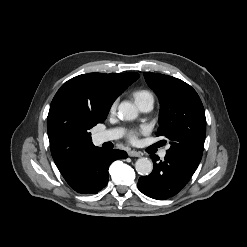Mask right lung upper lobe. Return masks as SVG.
<instances>
[{
    "label": "right lung upper lobe",
    "instance_id": "1",
    "mask_svg": "<svg viewBox=\"0 0 247 247\" xmlns=\"http://www.w3.org/2000/svg\"><path fill=\"white\" fill-rule=\"evenodd\" d=\"M139 78L136 72L122 74L89 73L65 82L54 96L47 119L51 154L59 170L80 153L94 147L80 142L62 131L57 123L60 107L74 106L101 116L109 112L116 98Z\"/></svg>",
    "mask_w": 247,
    "mask_h": 247
}]
</instances>
